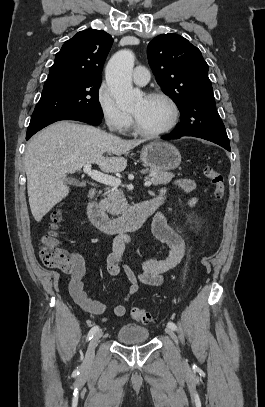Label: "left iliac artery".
Masks as SVG:
<instances>
[{
	"label": "left iliac artery",
	"mask_w": 265,
	"mask_h": 407,
	"mask_svg": "<svg viewBox=\"0 0 265 407\" xmlns=\"http://www.w3.org/2000/svg\"><path fill=\"white\" fill-rule=\"evenodd\" d=\"M167 326L169 328H171L172 330H177V326L175 325V323H173L171 321L167 323Z\"/></svg>",
	"instance_id": "obj_1"
}]
</instances>
